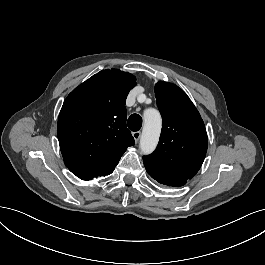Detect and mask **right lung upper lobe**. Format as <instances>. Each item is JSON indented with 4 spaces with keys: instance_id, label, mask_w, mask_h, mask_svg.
Here are the masks:
<instances>
[{
    "instance_id": "cb5924a9",
    "label": "right lung upper lobe",
    "mask_w": 265,
    "mask_h": 265,
    "mask_svg": "<svg viewBox=\"0 0 265 265\" xmlns=\"http://www.w3.org/2000/svg\"><path fill=\"white\" fill-rule=\"evenodd\" d=\"M136 78L106 69L75 88L61 108L57 136L69 170L110 174L134 138L126 128L125 101Z\"/></svg>"
}]
</instances>
